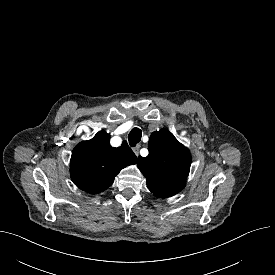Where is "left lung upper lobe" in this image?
Returning a JSON list of instances; mask_svg holds the SVG:
<instances>
[{
  "mask_svg": "<svg viewBox=\"0 0 275 275\" xmlns=\"http://www.w3.org/2000/svg\"><path fill=\"white\" fill-rule=\"evenodd\" d=\"M148 150L147 157H138V168L148 189L159 198L174 196L186 185L191 165L189 150L167 129L151 134Z\"/></svg>",
  "mask_w": 275,
  "mask_h": 275,
  "instance_id": "5c2ea615",
  "label": "left lung upper lobe"
}]
</instances>
